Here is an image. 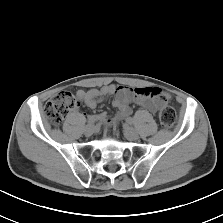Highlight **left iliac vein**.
Listing matches in <instances>:
<instances>
[{
  "instance_id": "4c4485c4",
  "label": "left iliac vein",
  "mask_w": 223,
  "mask_h": 223,
  "mask_svg": "<svg viewBox=\"0 0 223 223\" xmlns=\"http://www.w3.org/2000/svg\"><path fill=\"white\" fill-rule=\"evenodd\" d=\"M123 133L125 137L130 141L137 140L139 137L138 132L133 127L129 126L128 124H125L123 126Z\"/></svg>"
}]
</instances>
